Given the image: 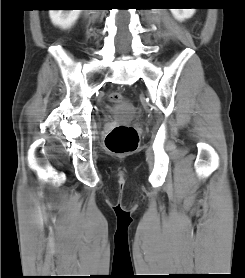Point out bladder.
I'll list each match as a JSON object with an SVG mask.
<instances>
[{
  "instance_id": "1",
  "label": "bladder",
  "mask_w": 245,
  "mask_h": 278,
  "mask_svg": "<svg viewBox=\"0 0 245 278\" xmlns=\"http://www.w3.org/2000/svg\"><path fill=\"white\" fill-rule=\"evenodd\" d=\"M111 117L120 118L122 120H129L135 116V111L132 108L126 107H115L111 113Z\"/></svg>"
}]
</instances>
